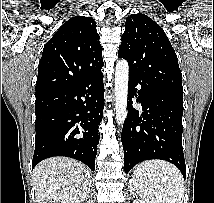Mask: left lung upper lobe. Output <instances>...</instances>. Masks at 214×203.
Here are the masks:
<instances>
[{"label": "left lung upper lobe", "instance_id": "1", "mask_svg": "<svg viewBox=\"0 0 214 203\" xmlns=\"http://www.w3.org/2000/svg\"><path fill=\"white\" fill-rule=\"evenodd\" d=\"M118 55L127 60L130 75L183 93L177 55L165 32L148 16L132 14L126 19Z\"/></svg>", "mask_w": 214, "mask_h": 203}]
</instances>
